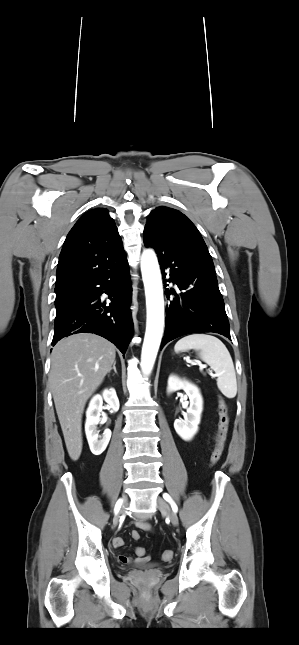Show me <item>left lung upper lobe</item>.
Here are the masks:
<instances>
[{
    "label": "left lung upper lobe",
    "instance_id": "1",
    "mask_svg": "<svg viewBox=\"0 0 299 645\" xmlns=\"http://www.w3.org/2000/svg\"><path fill=\"white\" fill-rule=\"evenodd\" d=\"M180 234L194 238L205 244L195 225L183 213L169 207H157L149 214L144 229L145 237H166Z\"/></svg>",
    "mask_w": 299,
    "mask_h": 645
}]
</instances>
